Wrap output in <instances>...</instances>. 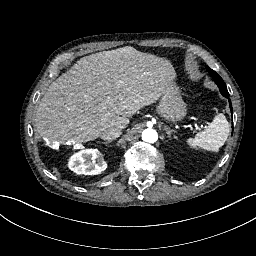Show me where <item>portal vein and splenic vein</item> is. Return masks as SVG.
<instances>
[{
	"instance_id": "1",
	"label": "portal vein and splenic vein",
	"mask_w": 256,
	"mask_h": 256,
	"mask_svg": "<svg viewBox=\"0 0 256 256\" xmlns=\"http://www.w3.org/2000/svg\"><path fill=\"white\" fill-rule=\"evenodd\" d=\"M193 130H194V131H197L199 134H202V133H203V130H202L200 127H197V126H194V127H193Z\"/></svg>"
}]
</instances>
